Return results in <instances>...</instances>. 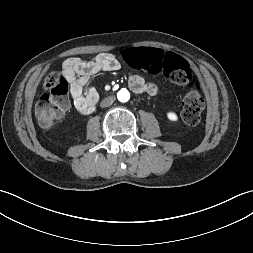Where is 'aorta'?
Here are the masks:
<instances>
[{"instance_id":"obj_1","label":"aorta","mask_w":253,"mask_h":253,"mask_svg":"<svg viewBox=\"0 0 253 253\" xmlns=\"http://www.w3.org/2000/svg\"><path fill=\"white\" fill-rule=\"evenodd\" d=\"M117 98L120 102H127L130 99V93L127 89L123 88L117 93Z\"/></svg>"}]
</instances>
